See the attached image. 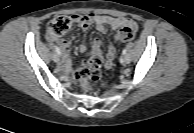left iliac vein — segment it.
<instances>
[{
	"instance_id": "obj_1",
	"label": "left iliac vein",
	"mask_w": 194,
	"mask_h": 133,
	"mask_svg": "<svg viewBox=\"0 0 194 133\" xmlns=\"http://www.w3.org/2000/svg\"><path fill=\"white\" fill-rule=\"evenodd\" d=\"M131 61V57L129 55H125L124 58L122 59L123 64H129Z\"/></svg>"
}]
</instances>
